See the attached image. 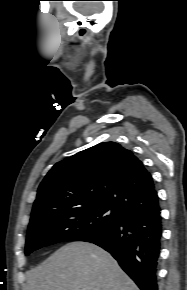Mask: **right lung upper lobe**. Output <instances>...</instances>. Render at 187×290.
<instances>
[{
	"instance_id": "1",
	"label": "right lung upper lobe",
	"mask_w": 187,
	"mask_h": 290,
	"mask_svg": "<svg viewBox=\"0 0 187 290\" xmlns=\"http://www.w3.org/2000/svg\"><path fill=\"white\" fill-rule=\"evenodd\" d=\"M106 205L122 215L159 206L150 173L115 142H104L56 163L38 188L30 224L49 214Z\"/></svg>"
}]
</instances>
